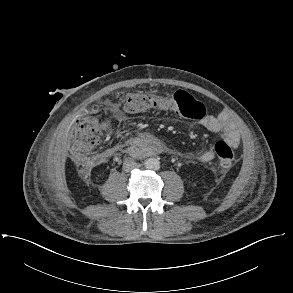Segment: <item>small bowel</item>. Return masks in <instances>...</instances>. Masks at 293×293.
<instances>
[{
  "mask_svg": "<svg viewBox=\"0 0 293 293\" xmlns=\"http://www.w3.org/2000/svg\"><path fill=\"white\" fill-rule=\"evenodd\" d=\"M197 110L198 125L210 132L220 134L222 138L232 147L237 148L240 144V134L236 125L229 119H219L207 114L202 103ZM215 154L212 150H205L197 155V159L203 163L214 160Z\"/></svg>",
  "mask_w": 293,
  "mask_h": 293,
  "instance_id": "1",
  "label": "small bowel"
}]
</instances>
